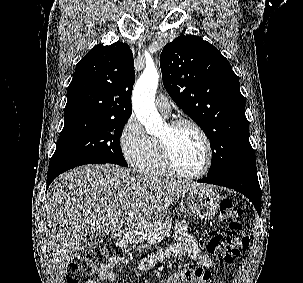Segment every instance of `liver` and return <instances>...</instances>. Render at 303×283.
Listing matches in <instances>:
<instances>
[{
  "instance_id": "6515ba94",
  "label": "liver",
  "mask_w": 303,
  "mask_h": 283,
  "mask_svg": "<svg viewBox=\"0 0 303 283\" xmlns=\"http://www.w3.org/2000/svg\"><path fill=\"white\" fill-rule=\"evenodd\" d=\"M199 186L111 165H85L63 173L49 187L44 204L47 238L58 275L65 276L83 237L114 230L121 211L130 209V215L142 222Z\"/></svg>"
}]
</instances>
